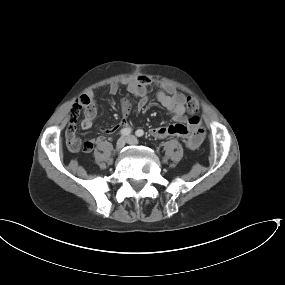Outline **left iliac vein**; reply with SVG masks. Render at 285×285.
Wrapping results in <instances>:
<instances>
[{
    "label": "left iliac vein",
    "instance_id": "left-iliac-vein-1",
    "mask_svg": "<svg viewBox=\"0 0 285 285\" xmlns=\"http://www.w3.org/2000/svg\"><path fill=\"white\" fill-rule=\"evenodd\" d=\"M126 142L127 144H130V145H136L138 144V140L135 136H128L126 137Z\"/></svg>",
    "mask_w": 285,
    "mask_h": 285
}]
</instances>
